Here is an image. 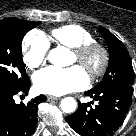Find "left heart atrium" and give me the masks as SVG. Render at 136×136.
<instances>
[{
    "label": "left heart atrium",
    "mask_w": 136,
    "mask_h": 136,
    "mask_svg": "<svg viewBox=\"0 0 136 136\" xmlns=\"http://www.w3.org/2000/svg\"><path fill=\"white\" fill-rule=\"evenodd\" d=\"M88 82V76L80 66L47 67L34 75L36 90L50 95H63L84 89Z\"/></svg>",
    "instance_id": "obj_1"
}]
</instances>
